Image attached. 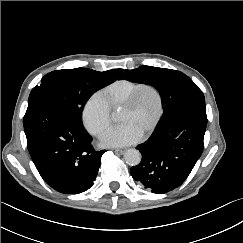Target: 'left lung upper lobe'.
<instances>
[{
  "label": "left lung upper lobe",
  "mask_w": 243,
  "mask_h": 243,
  "mask_svg": "<svg viewBox=\"0 0 243 243\" xmlns=\"http://www.w3.org/2000/svg\"><path fill=\"white\" fill-rule=\"evenodd\" d=\"M119 79L149 84L159 91L163 115L155 129L162 126L172 114L185 105L205 100L202 91L188 76L172 69L141 66L137 69L126 70Z\"/></svg>",
  "instance_id": "1"
}]
</instances>
